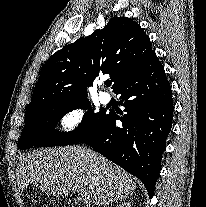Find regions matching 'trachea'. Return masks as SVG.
I'll use <instances>...</instances> for the list:
<instances>
[{"mask_svg":"<svg viewBox=\"0 0 206 207\" xmlns=\"http://www.w3.org/2000/svg\"><path fill=\"white\" fill-rule=\"evenodd\" d=\"M111 84H112V82H111V81H106V82H105V85H106V86H108V87H110V86H111Z\"/></svg>","mask_w":206,"mask_h":207,"instance_id":"1","label":"trachea"}]
</instances>
